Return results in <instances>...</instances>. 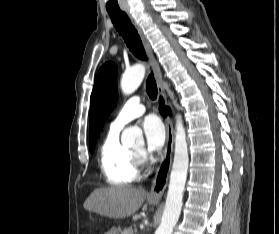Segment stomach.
Wrapping results in <instances>:
<instances>
[{
    "instance_id": "stomach-1",
    "label": "stomach",
    "mask_w": 279,
    "mask_h": 234,
    "mask_svg": "<svg viewBox=\"0 0 279 234\" xmlns=\"http://www.w3.org/2000/svg\"><path fill=\"white\" fill-rule=\"evenodd\" d=\"M151 203H152V204H157L158 201H151ZM105 234H118V233H117V232L111 231V232H107V233H105Z\"/></svg>"
}]
</instances>
